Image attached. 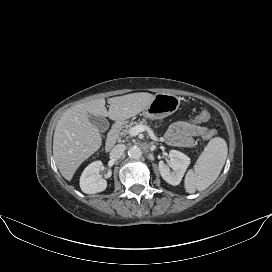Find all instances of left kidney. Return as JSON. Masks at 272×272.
<instances>
[{"label": "left kidney", "instance_id": "obj_1", "mask_svg": "<svg viewBox=\"0 0 272 272\" xmlns=\"http://www.w3.org/2000/svg\"><path fill=\"white\" fill-rule=\"evenodd\" d=\"M170 160L168 162L169 166L173 171H170L169 167L163 162H159V171L161 177L169 184L176 186L180 184L189 164L190 158L184 153L171 150L169 152Z\"/></svg>", "mask_w": 272, "mask_h": 272}]
</instances>
